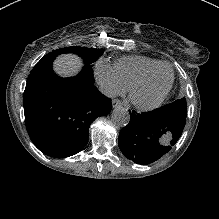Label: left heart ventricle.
I'll return each instance as SVG.
<instances>
[{
    "label": "left heart ventricle",
    "instance_id": "left-heart-ventricle-1",
    "mask_svg": "<svg viewBox=\"0 0 219 219\" xmlns=\"http://www.w3.org/2000/svg\"><path fill=\"white\" fill-rule=\"evenodd\" d=\"M170 81V69L167 66H160L136 86L133 98L142 103L153 102L168 88Z\"/></svg>",
    "mask_w": 219,
    "mask_h": 219
}]
</instances>
